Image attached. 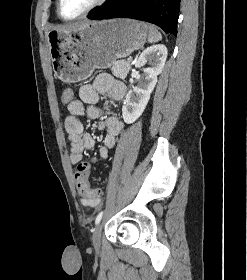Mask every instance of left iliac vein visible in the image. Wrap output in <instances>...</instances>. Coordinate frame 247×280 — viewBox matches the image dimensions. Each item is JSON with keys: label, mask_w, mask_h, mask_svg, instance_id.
<instances>
[{"label": "left iliac vein", "mask_w": 247, "mask_h": 280, "mask_svg": "<svg viewBox=\"0 0 247 280\" xmlns=\"http://www.w3.org/2000/svg\"><path fill=\"white\" fill-rule=\"evenodd\" d=\"M101 231H102V224L98 223L95 227L92 235V241L95 248H99L101 244Z\"/></svg>", "instance_id": "4c4485c4"}]
</instances>
